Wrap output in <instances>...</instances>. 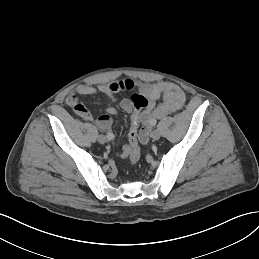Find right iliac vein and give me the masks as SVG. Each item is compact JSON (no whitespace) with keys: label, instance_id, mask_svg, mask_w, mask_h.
<instances>
[{"label":"right iliac vein","instance_id":"obj_1","mask_svg":"<svg viewBox=\"0 0 259 259\" xmlns=\"http://www.w3.org/2000/svg\"><path fill=\"white\" fill-rule=\"evenodd\" d=\"M107 139L104 135H99L98 136V142L101 143V144H104L106 143Z\"/></svg>","mask_w":259,"mask_h":259}]
</instances>
